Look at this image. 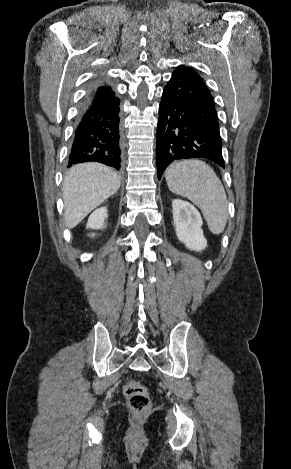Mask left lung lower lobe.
<instances>
[{
  "mask_svg": "<svg viewBox=\"0 0 291 469\" xmlns=\"http://www.w3.org/2000/svg\"><path fill=\"white\" fill-rule=\"evenodd\" d=\"M217 112L203 82L177 68L159 106L156 142L158 179L175 160L206 158L225 168Z\"/></svg>",
  "mask_w": 291,
  "mask_h": 469,
  "instance_id": "obj_1",
  "label": "left lung lower lobe"
}]
</instances>
